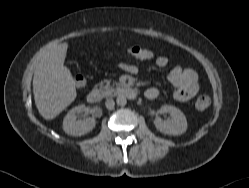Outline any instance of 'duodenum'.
<instances>
[{"mask_svg": "<svg viewBox=\"0 0 249 188\" xmlns=\"http://www.w3.org/2000/svg\"><path fill=\"white\" fill-rule=\"evenodd\" d=\"M120 96H124L128 99H134L137 96V91L133 88H122L119 92ZM86 99L89 103L95 104L101 100V93L98 90H92L86 95Z\"/></svg>", "mask_w": 249, "mask_h": 188, "instance_id": "1", "label": "duodenum"}]
</instances>
